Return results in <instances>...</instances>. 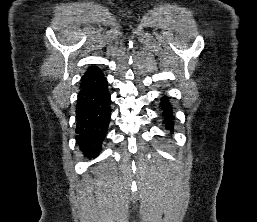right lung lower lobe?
Wrapping results in <instances>:
<instances>
[{"mask_svg":"<svg viewBox=\"0 0 257 222\" xmlns=\"http://www.w3.org/2000/svg\"><path fill=\"white\" fill-rule=\"evenodd\" d=\"M104 75L81 85L76 106V141L85 156H98L110 122V93Z\"/></svg>","mask_w":257,"mask_h":222,"instance_id":"obj_1","label":"right lung lower lobe"}]
</instances>
